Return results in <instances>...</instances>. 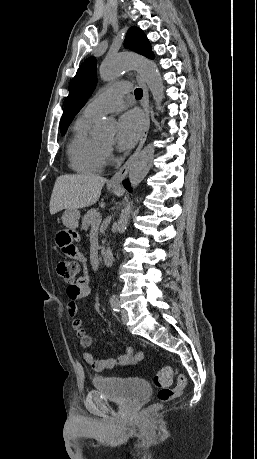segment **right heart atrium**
<instances>
[{
  "mask_svg": "<svg viewBox=\"0 0 257 459\" xmlns=\"http://www.w3.org/2000/svg\"><path fill=\"white\" fill-rule=\"evenodd\" d=\"M111 149L110 148H105V159H109L111 157Z\"/></svg>",
  "mask_w": 257,
  "mask_h": 459,
  "instance_id": "d8ad5b80",
  "label": "right heart atrium"
}]
</instances>
